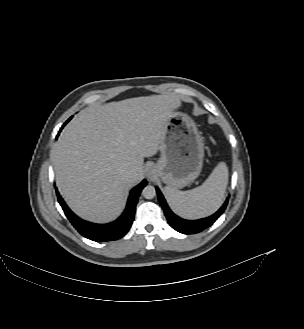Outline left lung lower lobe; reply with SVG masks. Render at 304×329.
<instances>
[{"instance_id": "1", "label": "left lung lower lobe", "mask_w": 304, "mask_h": 329, "mask_svg": "<svg viewBox=\"0 0 304 329\" xmlns=\"http://www.w3.org/2000/svg\"><path fill=\"white\" fill-rule=\"evenodd\" d=\"M157 194H158V200L160 202V205L162 206L165 216L169 222V224L178 232L183 234H195L198 232H201L202 230L208 228L211 226L224 212L226 209L228 199H226L225 203L222 205V207L213 215L199 220H185L177 215H175L170 208L168 207L162 193L158 188H156Z\"/></svg>"}]
</instances>
